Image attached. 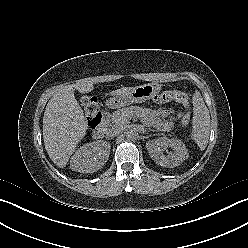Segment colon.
Wrapping results in <instances>:
<instances>
[{
  "mask_svg": "<svg viewBox=\"0 0 248 248\" xmlns=\"http://www.w3.org/2000/svg\"><path fill=\"white\" fill-rule=\"evenodd\" d=\"M172 100L181 103L185 108L190 107L189 96L183 91H165L154 98V101L157 103H165ZM82 105L88 126L94 128L101 116L98 99L95 96H84L82 98Z\"/></svg>",
  "mask_w": 248,
  "mask_h": 248,
  "instance_id": "colon-1",
  "label": "colon"
}]
</instances>
